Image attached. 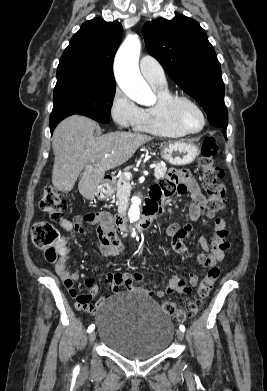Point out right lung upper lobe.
I'll return each mask as SVG.
<instances>
[{
    "label": "right lung upper lobe",
    "instance_id": "1",
    "mask_svg": "<svg viewBox=\"0 0 267 391\" xmlns=\"http://www.w3.org/2000/svg\"><path fill=\"white\" fill-rule=\"evenodd\" d=\"M122 32L117 21L92 19L83 23L60 58L57 77L88 73L114 78L113 59Z\"/></svg>",
    "mask_w": 267,
    "mask_h": 391
}]
</instances>
